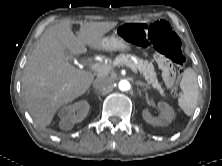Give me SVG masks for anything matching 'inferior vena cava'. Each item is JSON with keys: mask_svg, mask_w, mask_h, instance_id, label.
Returning <instances> with one entry per match:
<instances>
[{"mask_svg": "<svg viewBox=\"0 0 222 166\" xmlns=\"http://www.w3.org/2000/svg\"><path fill=\"white\" fill-rule=\"evenodd\" d=\"M111 83V80L107 77H98L94 80L93 87L97 90H107Z\"/></svg>", "mask_w": 222, "mask_h": 166, "instance_id": "obj_1", "label": "inferior vena cava"}]
</instances>
